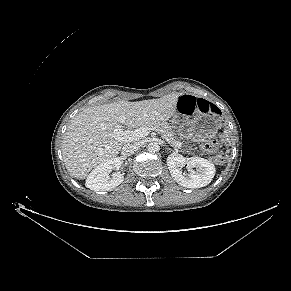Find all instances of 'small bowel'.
Wrapping results in <instances>:
<instances>
[{
	"label": "small bowel",
	"instance_id": "obj_1",
	"mask_svg": "<svg viewBox=\"0 0 291 291\" xmlns=\"http://www.w3.org/2000/svg\"><path fill=\"white\" fill-rule=\"evenodd\" d=\"M184 96H188V97L196 98L195 96H190V95H184Z\"/></svg>",
	"mask_w": 291,
	"mask_h": 291
}]
</instances>
